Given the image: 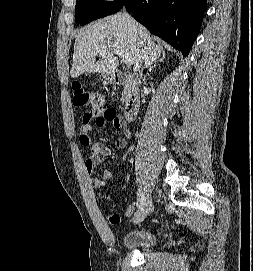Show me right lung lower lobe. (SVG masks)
I'll list each match as a JSON object with an SVG mask.
<instances>
[{
  "label": "right lung lower lobe",
  "mask_w": 253,
  "mask_h": 271,
  "mask_svg": "<svg viewBox=\"0 0 253 271\" xmlns=\"http://www.w3.org/2000/svg\"><path fill=\"white\" fill-rule=\"evenodd\" d=\"M134 18L187 56L199 34L206 0H127Z\"/></svg>",
  "instance_id": "98d812e1"
}]
</instances>
